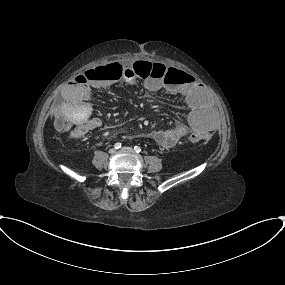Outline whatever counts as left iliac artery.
Listing matches in <instances>:
<instances>
[{"mask_svg": "<svg viewBox=\"0 0 285 285\" xmlns=\"http://www.w3.org/2000/svg\"><path fill=\"white\" fill-rule=\"evenodd\" d=\"M134 151H135L136 153H140V152H141V148H140L139 146H135V147H134Z\"/></svg>", "mask_w": 285, "mask_h": 285, "instance_id": "1", "label": "left iliac artery"}]
</instances>
